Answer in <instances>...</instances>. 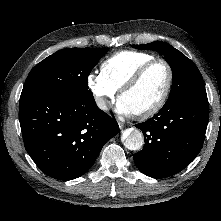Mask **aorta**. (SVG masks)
Returning <instances> with one entry per match:
<instances>
[{
  "label": "aorta",
  "mask_w": 221,
  "mask_h": 221,
  "mask_svg": "<svg viewBox=\"0 0 221 221\" xmlns=\"http://www.w3.org/2000/svg\"><path fill=\"white\" fill-rule=\"evenodd\" d=\"M123 143L129 150H140L144 145V136L140 130L130 128L124 133Z\"/></svg>",
  "instance_id": "aorta-1"
}]
</instances>
